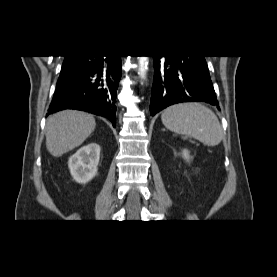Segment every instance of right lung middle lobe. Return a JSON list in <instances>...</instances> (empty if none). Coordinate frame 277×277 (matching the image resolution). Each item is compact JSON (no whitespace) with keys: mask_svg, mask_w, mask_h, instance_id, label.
<instances>
[{"mask_svg":"<svg viewBox=\"0 0 277 277\" xmlns=\"http://www.w3.org/2000/svg\"><path fill=\"white\" fill-rule=\"evenodd\" d=\"M67 58H68V57H66L64 61H66V60H67Z\"/></svg>","mask_w":277,"mask_h":277,"instance_id":"right-lung-middle-lobe-1","label":"right lung middle lobe"}]
</instances>
